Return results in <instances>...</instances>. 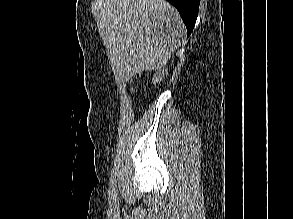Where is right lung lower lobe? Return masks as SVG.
<instances>
[{"instance_id": "98d812e1", "label": "right lung lower lobe", "mask_w": 293, "mask_h": 219, "mask_svg": "<svg viewBox=\"0 0 293 219\" xmlns=\"http://www.w3.org/2000/svg\"><path fill=\"white\" fill-rule=\"evenodd\" d=\"M179 11L181 18L186 25L188 36L191 34L197 16L200 0H167Z\"/></svg>"}]
</instances>
